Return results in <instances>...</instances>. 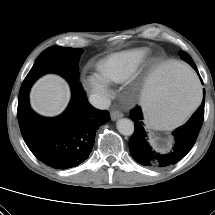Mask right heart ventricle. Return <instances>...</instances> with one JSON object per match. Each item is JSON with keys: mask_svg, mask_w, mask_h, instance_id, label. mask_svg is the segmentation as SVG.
Segmentation results:
<instances>
[{"mask_svg": "<svg viewBox=\"0 0 215 215\" xmlns=\"http://www.w3.org/2000/svg\"><path fill=\"white\" fill-rule=\"evenodd\" d=\"M147 53L144 48L112 53L97 63L98 74L108 82L122 83L144 63Z\"/></svg>", "mask_w": 215, "mask_h": 215, "instance_id": "1", "label": "right heart ventricle"}]
</instances>
